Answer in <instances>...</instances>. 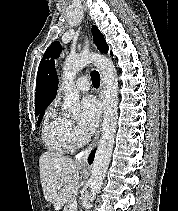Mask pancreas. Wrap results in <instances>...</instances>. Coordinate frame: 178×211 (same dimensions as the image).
<instances>
[{
	"label": "pancreas",
	"mask_w": 178,
	"mask_h": 211,
	"mask_svg": "<svg viewBox=\"0 0 178 211\" xmlns=\"http://www.w3.org/2000/svg\"><path fill=\"white\" fill-rule=\"evenodd\" d=\"M73 199H75V196H73V197L71 198V200H70V202H69V205H68V208H69V209H68L67 211H70V205H71Z\"/></svg>",
	"instance_id": "pancreas-1"
}]
</instances>
